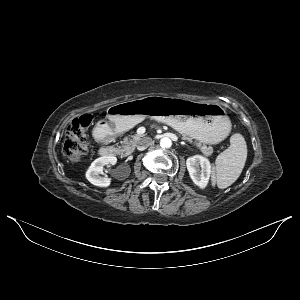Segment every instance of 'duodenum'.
Wrapping results in <instances>:
<instances>
[{
    "label": "duodenum",
    "mask_w": 300,
    "mask_h": 300,
    "mask_svg": "<svg viewBox=\"0 0 300 300\" xmlns=\"http://www.w3.org/2000/svg\"><path fill=\"white\" fill-rule=\"evenodd\" d=\"M108 128H102L97 130L94 134V139L97 143L101 145L100 153L103 156H115L117 154V150L112 145H107L105 142L108 140Z\"/></svg>",
    "instance_id": "1"
}]
</instances>
